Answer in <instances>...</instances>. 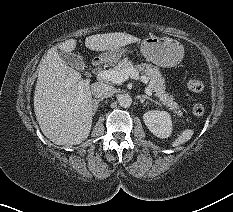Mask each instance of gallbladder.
I'll list each match as a JSON object with an SVG mask.
<instances>
[{
  "label": "gallbladder",
  "instance_id": "bac80fb5",
  "mask_svg": "<svg viewBox=\"0 0 233 212\" xmlns=\"http://www.w3.org/2000/svg\"><path fill=\"white\" fill-rule=\"evenodd\" d=\"M60 57L66 64L76 68L77 70H83L86 67L83 57L78 54L62 52L60 53Z\"/></svg>",
  "mask_w": 233,
  "mask_h": 212
}]
</instances>
